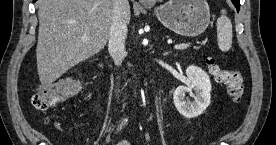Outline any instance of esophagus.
<instances>
[{
  "label": "esophagus",
  "instance_id": "1",
  "mask_svg": "<svg viewBox=\"0 0 276 145\" xmlns=\"http://www.w3.org/2000/svg\"><path fill=\"white\" fill-rule=\"evenodd\" d=\"M139 2H140L141 4H144V5H150V4H152V1H151V0H139Z\"/></svg>",
  "mask_w": 276,
  "mask_h": 145
}]
</instances>
